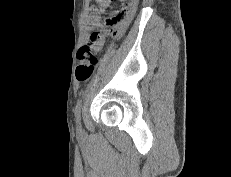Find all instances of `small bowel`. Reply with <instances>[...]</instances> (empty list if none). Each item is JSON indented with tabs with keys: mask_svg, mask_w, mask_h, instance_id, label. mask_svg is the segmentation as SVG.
Here are the masks:
<instances>
[{
	"mask_svg": "<svg viewBox=\"0 0 231 177\" xmlns=\"http://www.w3.org/2000/svg\"><path fill=\"white\" fill-rule=\"evenodd\" d=\"M96 1L101 3V4H105L104 0H96ZM92 10L95 11V9H92ZM127 18L124 19L125 21L120 26V30H123L127 26V24H128ZM96 22H97V16L95 13H89L85 16V23L87 25H92V24H95ZM102 44H103L102 39L97 40V41H92V40L90 41V47H91L93 52H97L100 49V47L102 46Z\"/></svg>",
	"mask_w": 231,
	"mask_h": 177,
	"instance_id": "small-bowel-1",
	"label": "small bowel"
}]
</instances>
